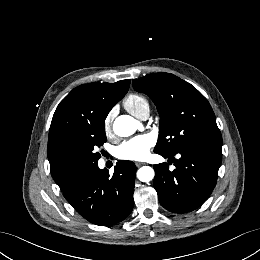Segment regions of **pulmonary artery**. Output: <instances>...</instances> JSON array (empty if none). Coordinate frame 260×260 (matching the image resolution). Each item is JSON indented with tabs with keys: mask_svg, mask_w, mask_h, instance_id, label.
Instances as JSON below:
<instances>
[{
	"mask_svg": "<svg viewBox=\"0 0 260 260\" xmlns=\"http://www.w3.org/2000/svg\"><path fill=\"white\" fill-rule=\"evenodd\" d=\"M149 116V108H145L144 110L141 111L139 118L145 120Z\"/></svg>",
	"mask_w": 260,
	"mask_h": 260,
	"instance_id": "pulmonary-artery-1",
	"label": "pulmonary artery"
}]
</instances>
